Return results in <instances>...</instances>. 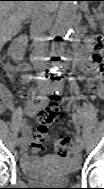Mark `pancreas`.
Instances as JSON below:
<instances>
[{
	"instance_id": "1",
	"label": "pancreas",
	"mask_w": 104,
	"mask_h": 189,
	"mask_svg": "<svg viewBox=\"0 0 104 189\" xmlns=\"http://www.w3.org/2000/svg\"><path fill=\"white\" fill-rule=\"evenodd\" d=\"M89 18V21L90 22H93L94 21V18H97V16H90V17H88Z\"/></svg>"
}]
</instances>
